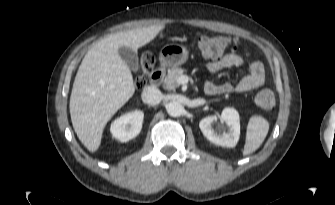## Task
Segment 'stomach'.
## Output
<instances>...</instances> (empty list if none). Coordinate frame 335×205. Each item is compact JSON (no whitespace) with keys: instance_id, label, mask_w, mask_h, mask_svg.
Listing matches in <instances>:
<instances>
[{"instance_id":"1","label":"stomach","mask_w":335,"mask_h":205,"mask_svg":"<svg viewBox=\"0 0 335 205\" xmlns=\"http://www.w3.org/2000/svg\"><path fill=\"white\" fill-rule=\"evenodd\" d=\"M162 64L168 67H177L184 64L188 59L187 49L178 44H167L159 54Z\"/></svg>"}]
</instances>
